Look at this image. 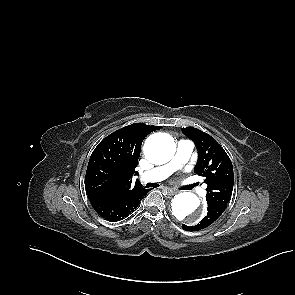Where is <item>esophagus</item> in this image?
I'll return each instance as SVG.
<instances>
[{"mask_svg":"<svg viewBox=\"0 0 295 295\" xmlns=\"http://www.w3.org/2000/svg\"><path fill=\"white\" fill-rule=\"evenodd\" d=\"M165 191H166V193L168 194V195H170V196H173V195H175L177 192L176 191H174V190H170V189H168V188H166V189H164Z\"/></svg>","mask_w":295,"mask_h":295,"instance_id":"34e87169","label":"esophagus"}]
</instances>
